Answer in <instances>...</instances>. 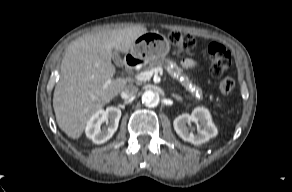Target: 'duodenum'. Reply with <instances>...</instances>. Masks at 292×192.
<instances>
[{
	"instance_id": "410a0bca",
	"label": "duodenum",
	"mask_w": 292,
	"mask_h": 192,
	"mask_svg": "<svg viewBox=\"0 0 292 192\" xmlns=\"http://www.w3.org/2000/svg\"><path fill=\"white\" fill-rule=\"evenodd\" d=\"M125 63L129 67H134L140 63V59L134 55H127L125 58Z\"/></svg>"
}]
</instances>
